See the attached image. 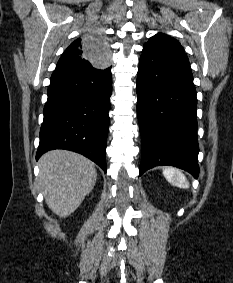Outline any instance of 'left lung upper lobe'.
I'll list each match as a JSON object with an SVG mask.
<instances>
[{"instance_id":"obj_1","label":"left lung upper lobe","mask_w":233,"mask_h":283,"mask_svg":"<svg viewBox=\"0 0 233 283\" xmlns=\"http://www.w3.org/2000/svg\"><path fill=\"white\" fill-rule=\"evenodd\" d=\"M144 46L156 48H173L176 50L184 51V49L176 39L162 33H158L151 37Z\"/></svg>"}]
</instances>
